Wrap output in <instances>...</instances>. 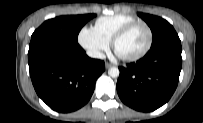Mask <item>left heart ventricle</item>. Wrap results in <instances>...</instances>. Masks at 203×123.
Masks as SVG:
<instances>
[{"instance_id":"left-heart-ventricle-1","label":"left heart ventricle","mask_w":203,"mask_h":123,"mask_svg":"<svg viewBox=\"0 0 203 123\" xmlns=\"http://www.w3.org/2000/svg\"><path fill=\"white\" fill-rule=\"evenodd\" d=\"M148 41V33L144 26L133 28L123 37L116 46V51L121 56H132L142 51Z\"/></svg>"}]
</instances>
